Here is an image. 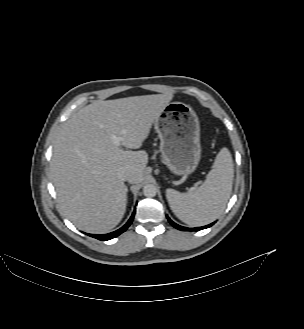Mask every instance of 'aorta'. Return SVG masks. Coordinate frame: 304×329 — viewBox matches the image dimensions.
Returning a JSON list of instances; mask_svg holds the SVG:
<instances>
[{
  "label": "aorta",
  "mask_w": 304,
  "mask_h": 329,
  "mask_svg": "<svg viewBox=\"0 0 304 329\" xmlns=\"http://www.w3.org/2000/svg\"><path fill=\"white\" fill-rule=\"evenodd\" d=\"M157 188L153 184H147L143 188V194L146 197H154L156 196Z\"/></svg>",
  "instance_id": "aorta-1"
}]
</instances>
